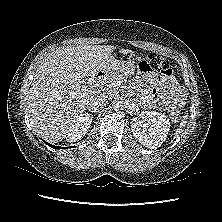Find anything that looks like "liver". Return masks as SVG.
<instances>
[{
    "label": "liver",
    "mask_w": 222,
    "mask_h": 222,
    "mask_svg": "<svg viewBox=\"0 0 222 222\" xmlns=\"http://www.w3.org/2000/svg\"><path fill=\"white\" fill-rule=\"evenodd\" d=\"M111 45H78L56 49L38 66L28 92L30 124L41 137L58 143L65 138L68 124L81 115L94 91L84 85L99 70L119 71L120 61L111 55ZM131 50L121 49V54Z\"/></svg>",
    "instance_id": "6515ba94"
}]
</instances>
